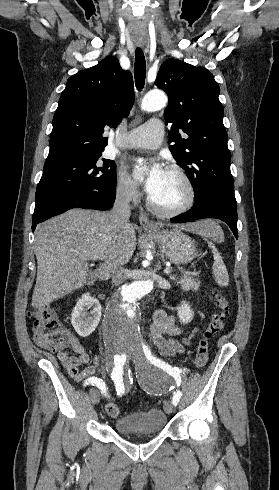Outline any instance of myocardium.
I'll list each match as a JSON object with an SVG mask.
<instances>
[{
	"instance_id": "obj_1",
	"label": "myocardium",
	"mask_w": 279,
	"mask_h": 490,
	"mask_svg": "<svg viewBox=\"0 0 279 490\" xmlns=\"http://www.w3.org/2000/svg\"><path fill=\"white\" fill-rule=\"evenodd\" d=\"M166 171L175 174L183 182L186 189L185 199L177 206L171 208L159 205L153 199H150L148 204L150 209L159 216L168 218L177 217L188 211L193 206L196 199V191L191 178L182 167L172 164L167 166Z\"/></svg>"
}]
</instances>
